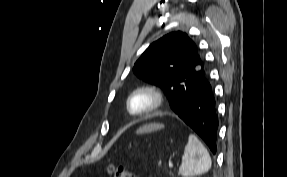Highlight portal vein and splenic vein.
<instances>
[{
    "label": "portal vein and splenic vein",
    "instance_id": "portal-vein-and-splenic-vein-1",
    "mask_svg": "<svg viewBox=\"0 0 287 177\" xmlns=\"http://www.w3.org/2000/svg\"><path fill=\"white\" fill-rule=\"evenodd\" d=\"M173 167H174V165L172 163H169V168L171 169Z\"/></svg>",
    "mask_w": 287,
    "mask_h": 177
}]
</instances>
